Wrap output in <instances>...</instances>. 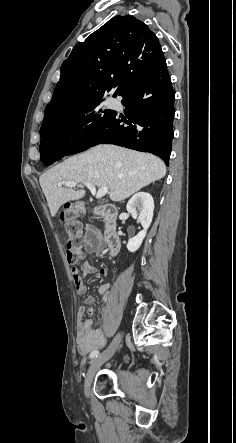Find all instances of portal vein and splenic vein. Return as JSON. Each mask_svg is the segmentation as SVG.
<instances>
[{"label": "portal vein and splenic vein", "mask_w": 236, "mask_h": 443, "mask_svg": "<svg viewBox=\"0 0 236 443\" xmlns=\"http://www.w3.org/2000/svg\"><path fill=\"white\" fill-rule=\"evenodd\" d=\"M77 184L78 183L76 181H62V182H60L59 186L64 185L69 188H74L77 186ZM83 185L86 186L90 190L92 195L96 196V198L103 197L104 195H106L108 193V190H109L108 187H102L98 190V192H96L95 186L91 185L90 183L84 182Z\"/></svg>", "instance_id": "18ae733b"}]
</instances>
